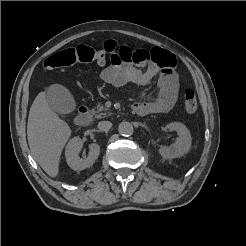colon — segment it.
<instances>
[{
  "label": "colon",
  "mask_w": 246,
  "mask_h": 246,
  "mask_svg": "<svg viewBox=\"0 0 246 246\" xmlns=\"http://www.w3.org/2000/svg\"><path fill=\"white\" fill-rule=\"evenodd\" d=\"M78 63L104 65L106 63L105 51L78 45L52 54L44 61V67L47 70H51L70 67ZM197 108L198 101L195 92L192 89H187L184 93V109L186 113L193 114L197 111Z\"/></svg>",
  "instance_id": "obj_1"
}]
</instances>
